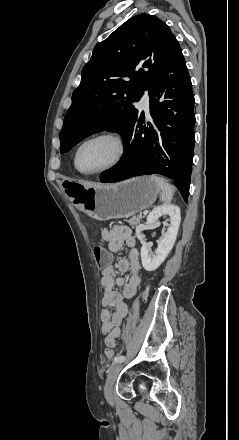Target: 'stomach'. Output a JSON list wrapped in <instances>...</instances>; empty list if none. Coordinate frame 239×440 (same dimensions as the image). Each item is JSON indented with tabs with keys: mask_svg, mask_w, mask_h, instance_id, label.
Here are the masks:
<instances>
[{
	"mask_svg": "<svg viewBox=\"0 0 239 440\" xmlns=\"http://www.w3.org/2000/svg\"><path fill=\"white\" fill-rule=\"evenodd\" d=\"M70 198L77 208L93 220H114L129 218L146 208H150L161 188L151 176L130 178L111 186H83L71 182Z\"/></svg>",
	"mask_w": 239,
	"mask_h": 440,
	"instance_id": "obj_1",
	"label": "stomach"
}]
</instances>
